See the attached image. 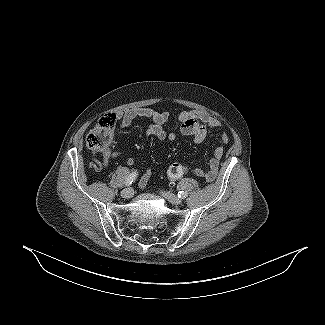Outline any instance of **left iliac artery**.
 <instances>
[{
  "mask_svg": "<svg viewBox=\"0 0 325 325\" xmlns=\"http://www.w3.org/2000/svg\"><path fill=\"white\" fill-rule=\"evenodd\" d=\"M187 196H188V193H187L186 191H180V192H178V197H179V198L184 199V198H186Z\"/></svg>",
  "mask_w": 325,
  "mask_h": 325,
  "instance_id": "left-iliac-artery-1",
  "label": "left iliac artery"
}]
</instances>
